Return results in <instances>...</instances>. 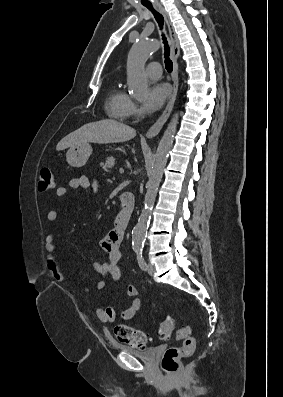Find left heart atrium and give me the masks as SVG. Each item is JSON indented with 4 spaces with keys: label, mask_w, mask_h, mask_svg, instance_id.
I'll return each instance as SVG.
<instances>
[{
    "label": "left heart atrium",
    "mask_w": 283,
    "mask_h": 397,
    "mask_svg": "<svg viewBox=\"0 0 283 397\" xmlns=\"http://www.w3.org/2000/svg\"><path fill=\"white\" fill-rule=\"evenodd\" d=\"M170 95V88L166 84L153 85L143 103L146 112H155L162 107Z\"/></svg>",
    "instance_id": "39dd6f15"
}]
</instances>
